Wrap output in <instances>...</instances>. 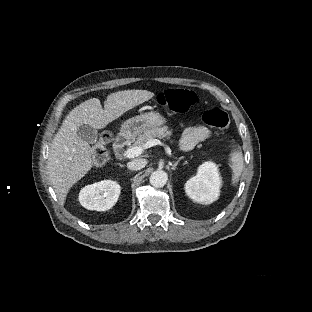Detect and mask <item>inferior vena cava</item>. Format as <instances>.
<instances>
[{
    "label": "inferior vena cava",
    "mask_w": 312,
    "mask_h": 312,
    "mask_svg": "<svg viewBox=\"0 0 312 312\" xmlns=\"http://www.w3.org/2000/svg\"><path fill=\"white\" fill-rule=\"evenodd\" d=\"M146 164H147V161L145 159H135V160L128 162L127 167L130 170L137 171V170L144 168Z\"/></svg>",
    "instance_id": "inferior-vena-cava-1"
}]
</instances>
